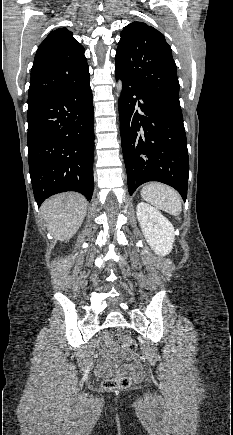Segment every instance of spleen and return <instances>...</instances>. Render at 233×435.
<instances>
[{"label":"spleen","instance_id":"spleen-1","mask_svg":"<svg viewBox=\"0 0 233 435\" xmlns=\"http://www.w3.org/2000/svg\"><path fill=\"white\" fill-rule=\"evenodd\" d=\"M140 194L144 200L171 215L177 216L182 211L181 197L170 186L150 182L142 188Z\"/></svg>","mask_w":233,"mask_h":435}]
</instances>
